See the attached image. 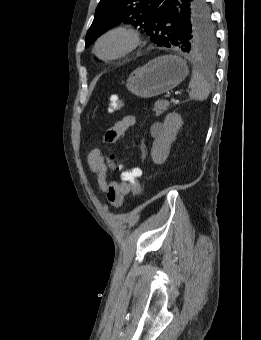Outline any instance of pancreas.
Segmentation results:
<instances>
[{
	"label": "pancreas",
	"mask_w": 261,
	"mask_h": 340,
	"mask_svg": "<svg viewBox=\"0 0 261 340\" xmlns=\"http://www.w3.org/2000/svg\"><path fill=\"white\" fill-rule=\"evenodd\" d=\"M176 103V102H174ZM170 106V103L165 100H158L154 104L153 111H155L156 116L162 115L165 111H167L168 107Z\"/></svg>",
	"instance_id": "pancreas-1"
}]
</instances>
